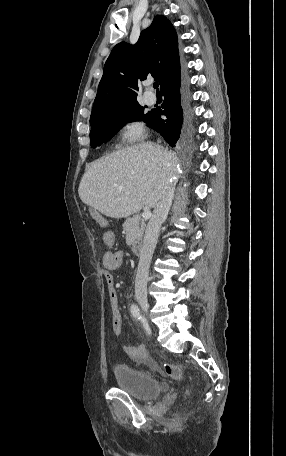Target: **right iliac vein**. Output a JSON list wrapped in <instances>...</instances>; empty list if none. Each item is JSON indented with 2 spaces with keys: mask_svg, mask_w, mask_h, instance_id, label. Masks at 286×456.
<instances>
[{
  "mask_svg": "<svg viewBox=\"0 0 286 456\" xmlns=\"http://www.w3.org/2000/svg\"><path fill=\"white\" fill-rule=\"evenodd\" d=\"M136 300H137L138 304L140 305L141 309L143 310V312L145 314H147L148 308H149V303H148L147 298L145 296L139 295L136 297Z\"/></svg>",
  "mask_w": 286,
  "mask_h": 456,
  "instance_id": "right-iliac-vein-1",
  "label": "right iliac vein"
}]
</instances>
